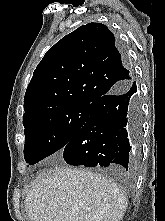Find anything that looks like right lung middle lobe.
Wrapping results in <instances>:
<instances>
[{"mask_svg":"<svg viewBox=\"0 0 165 221\" xmlns=\"http://www.w3.org/2000/svg\"><path fill=\"white\" fill-rule=\"evenodd\" d=\"M91 104L54 107L23 120L26 163L35 164L68 144L89 119Z\"/></svg>","mask_w":165,"mask_h":221,"instance_id":"1","label":"right lung middle lobe"}]
</instances>
